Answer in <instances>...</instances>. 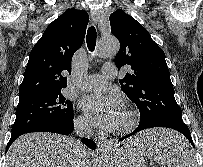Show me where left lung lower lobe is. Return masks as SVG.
<instances>
[{
	"label": "left lung lower lobe",
	"mask_w": 203,
	"mask_h": 167,
	"mask_svg": "<svg viewBox=\"0 0 203 167\" xmlns=\"http://www.w3.org/2000/svg\"><path fill=\"white\" fill-rule=\"evenodd\" d=\"M153 127H166V128L174 129V130L180 132L181 134H183L188 139V141L194 146L192 137L190 135V130H189V128L187 127V125L184 122L162 123V124L148 125V126H140L139 125L131 134L119 139V141H121V140H123V139H125V138H127V137L141 131V130L148 129V128H153ZM183 139L185 140L184 137H183ZM147 145H148V143L145 141V142L139 143L137 146L138 147H141V146L146 147Z\"/></svg>",
	"instance_id": "1"
}]
</instances>
